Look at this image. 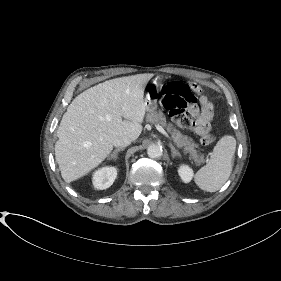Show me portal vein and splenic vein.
Returning a JSON list of instances; mask_svg holds the SVG:
<instances>
[{"label": "portal vein and splenic vein", "instance_id": "portal-vein-and-splenic-vein-1", "mask_svg": "<svg viewBox=\"0 0 281 281\" xmlns=\"http://www.w3.org/2000/svg\"><path fill=\"white\" fill-rule=\"evenodd\" d=\"M156 129L161 133L163 134L164 136L168 137L169 138V135L168 133L164 130V128L160 125H156Z\"/></svg>", "mask_w": 281, "mask_h": 281}]
</instances>
